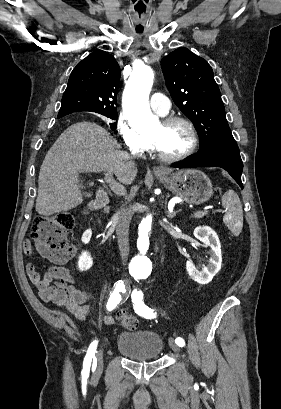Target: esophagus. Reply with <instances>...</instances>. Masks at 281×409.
<instances>
[{
  "mask_svg": "<svg viewBox=\"0 0 281 409\" xmlns=\"http://www.w3.org/2000/svg\"><path fill=\"white\" fill-rule=\"evenodd\" d=\"M153 171H154L155 173H157V172H162L163 169H162L161 167H154V168H153Z\"/></svg>",
  "mask_w": 281,
  "mask_h": 409,
  "instance_id": "esophagus-1",
  "label": "esophagus"
}]
</instances>
